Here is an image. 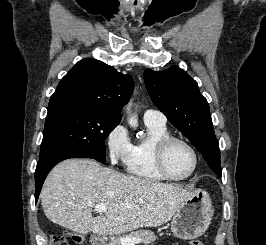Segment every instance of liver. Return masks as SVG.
I'll list each match as a JSON object with an SVG mask.
<instances>
[{
	"label": "liver",
	"instance_id": "liver-1",
	"mask_svg": "<svg viewBox=\"0 0 266 245\" xmlns=\"http://www.w3.org/2000/svg\"><path fill=\"white\" fill-rule=\"evenodd\" d=\"M192 195L179 185L122 175L94 159H67L49 173L41 203L47 219L69 231L120 237L168 223ZM95 205H107L105 217H92Z\"/></svg>",
	"mask_w": 266,
	"mask_h": 245
}]
</instances>
